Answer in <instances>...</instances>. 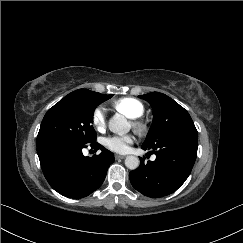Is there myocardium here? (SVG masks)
I'll list each match as a JSON object with an SVG mask.
<instances>
[{"label": "myocardium", "mask_w": 243, "mask_h": 243, "mask_svg": "<svg viewBox=\"0 0 243 243\" xmlns=\"http://www.w3.org/2000/svg\"><path fill=\"white\" fill-rule=\"evenodd\" d=\"M132 126L139 134H142L146 130V125L137 119L132 120Z\"/></svg>", "instance_id": "myocardium-1"}]
</instances>
